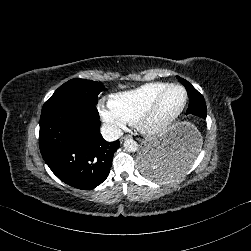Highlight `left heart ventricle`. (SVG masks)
Here are the masks:
<instances>
[{"label":"left heart ventricle","mask_w":251,"mask_h":251,"mask_svg":"<svg viewBox=\"0 0 251 251\" xmlns=\"http://www.w3.org/2000/svg\"><path fill=\"white\" fill-rule=\"evenodd\" d=\"M184 102L185 93L181 89H169L155 113V120L159 123H166L174 119L182 109Z\"/></svg>","instance_id":"left-heart-ventricle-1"}]
</instances>
